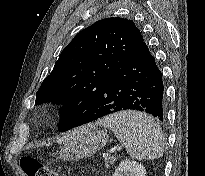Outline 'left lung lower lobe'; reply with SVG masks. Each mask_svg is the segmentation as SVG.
<instances>
[{
	"mask_svg": "<svg viewBox=\"0 0 205 176\" xmlns=\"http://www.w3.org/2000/svg\"><path fill=\"white\" fill-rule=\"evenodd\" d=\"M163 93L162 74L143 41L116 74L106 81L94 103L74 127L121 110L146 112L163 121Z\"/></svg>",
	"mask_w": 205,
	"mask_h": 176,
	"instance_id": "1",
	"label": "left lung lower lobe"
}]
</instances>
